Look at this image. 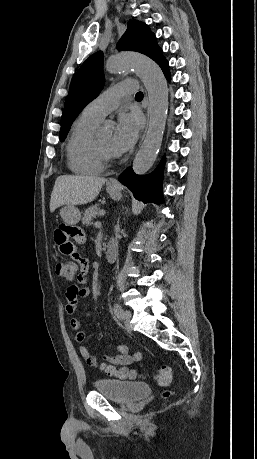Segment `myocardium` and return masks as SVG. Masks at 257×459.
<instances>
[{"instance_id":"1","label":"myocardium","mask_w":257,"mask_h":459,"mask_svg":"<svg viewBox=\"0 0 257 459\" xmlns=\"http://www.w3.org/2000/svg\"><path fill=\"white\" fill-rule=\"evenodd\" d=\"M95 150H96V153L99 157V159L103 162V163H109L111 162L112 160H114L116 158V154L106 150L103 145L101 144L98 136L95 137Z\"/></svg>"}]
</instances>
